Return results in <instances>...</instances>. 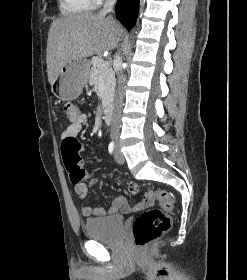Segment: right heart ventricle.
<instances>
[{
    "label": "right heart ventricle",
    "mask_w": 247,
    "mask_h": 280,
    "mask_svg": "<svg viewBox=\"0 0 247 280\" xmlns=\"http://www.w3.org/2000/svg\"><path fill=\"white\" fill-rule=\"evenodd\" d=\"M60 11L65 16L84 14L94 8L93 0H59Z\"/></svg>",
    "instance_id": "right-heart-ventricle-1"
}]
</instances>
